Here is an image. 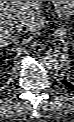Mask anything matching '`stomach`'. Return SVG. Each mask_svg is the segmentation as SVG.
Instances as JSON below:
<instances>
[{"instance_id":"obj_1","label":"stomach","mask_w":74,"mask_h":122,"mask_svg":"<svg viewBox=\"0 0 74 122\" xmlns=\"http://www.w3.org/2000/svg\"><path fill=\"white\" fill-rule=\"evenodd\" d=\"M57 12L62 16H70L73 14L74 1H52Z\"/></svg>"}]
</instances>
